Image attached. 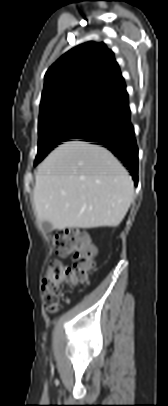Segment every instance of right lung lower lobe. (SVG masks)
Wrapping results in <instances>:
<instances>
[{
	"label": "right lung lower lobe",
	"instance_id": "98d812e1",
	"mask_svg": "<svg viewBox=\"0 0 168 406\" xmlns=\"http://www.w3.org/2000/svg\"><path fill=\"white\" fill-rule=\"evenodd\" d=\"M108 106L110 118L79 139L102 145L110 150L127 167L137 185L138 148L134 128L130 122L131 112L127 92L110 101Z\"/></svg>",
	"mask_w": 168,
	"mask_h": 406
}]
</instances>
